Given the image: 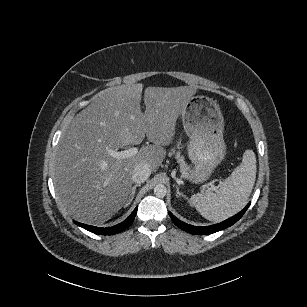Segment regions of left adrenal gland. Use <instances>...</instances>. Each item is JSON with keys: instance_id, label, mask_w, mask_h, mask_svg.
<instances>
[{"instance_id": "1", "label": "left adrenal gland", "mask_w": 307, "mask_h": 307, "mask_svg": "<svg viewBox=\"0 0 307 307\" xmlns=\"http://www.w3.org/2000/svg\"><path fill=\"white\" fill-rule=\"evenodd\" d=\"M176 193H177V197L182 196L187 199V197L179 191V187L177 185H176Z\"/></svg>"}]
</instances>
